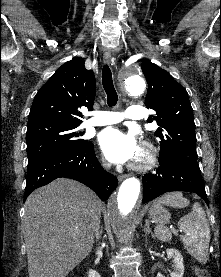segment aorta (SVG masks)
Segmentation results:
<instances>
[{
    "label": "aorta",
    "mask_w": 221,
    "mask_h": 277,
    "mask_svg": "<svg viewBox=\"0 0 221 277\" xmlns=\"http://www.w3.org/2000/svg\"><path fill=\"white\" fill-rule=\"evenodd\" d=\"M123 92L138 96L144 93L146 82L137 68H127L121 73ZM140 181L135 177L124 180L107 203L108 214L116 236L125 244L133 238L135 219L139 207Z\"/></svg>",
    "instance_id": "1"
}]
</instances>
